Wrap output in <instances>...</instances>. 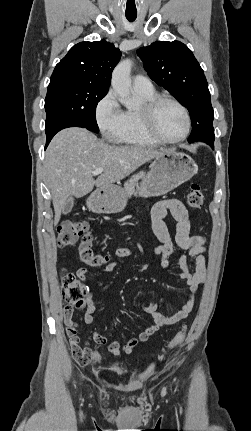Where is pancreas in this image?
<instances>
[{
  "mask_svg": "<svg viewBox=\"0 0 251 431\" xmlns=\"http://www.w3.org/2000/svg\"><path fill=\"white\" fill-rule=\"evenodd\" d=\"M142 178L139 176H134L124 184L125 198H130L135 193V186H137V181Z\"/></svg>",
  "mask_w": 251,
  "mask_h": 431,
  "instance_id": "obj_1",
  "label": "pancreas"
}]
</instances>
